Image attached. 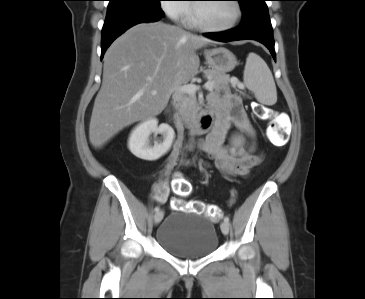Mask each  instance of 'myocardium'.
I'll use <instances>...</instances> for the list:
<instances>
[{"label":"myocardium","instance_id":"1","mask_svg":"<svg viewBox=\"0 0 365 299\" xmlns=\"http://www.w3.org/2000/svg\"><path fill=\"white\" fill-rule=\"evenodd\" d=\"M231 1L233 2L234 6H235L236 14H235L234 20L229 25H226L223 27H214V26H209V25L203 23L198 14L197 4H194L191 7L192 24L201 30H204L207 32H213V33H220V32H226V31L232 30L233 28H235L238 25V23L241 20L242 7H241L239 0H231Z\"/></svg>","mask_w":365,"mask_h":299}]
</instances>
